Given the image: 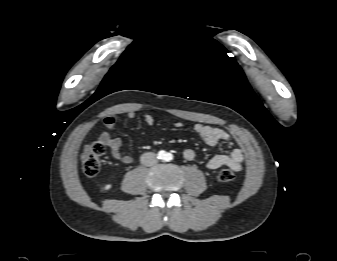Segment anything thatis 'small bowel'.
<instances>
[{
  "instance_id": "1",
  "label": "small bowel",
  "mask_w": 337,
  "mask_h": 261,
  "mask_svg": "<svg viewBox=\"0 0 337 261\" xmlns=\"http://www.w3.org/2000/svg\"><path fill=\"white\" fill-rule=\"evenodd\" d=\"M125 116L129 119H134L136 113L134 111H129L125 113ZM144 122L151 126L154 124V118L150 114H145L143 116ZM117 116L109 115L104 119L105 128L102 131L99 140L107 148H109L111 156L124 163L130 164L133 162V158L125 155L121 152L122 141L119 137L113 136L112 132L116 128ZM176 128L182 126L181 122H176L174 124ZM194 131L198 134L206 144L209 146H216L219 142H227L232 145V137L223 129L214 127L211 125H204L201 123L195 124ZM183 156L186 160H193L195 158V151L191 148H187L183 152ZM243 152L239 148H233L231 152L227 155H216L212 157L208 163L207 168L209 170H216L222 166H227L235 172H239L242 169L243 162Z\"/></svg>"
}]
</instances>
